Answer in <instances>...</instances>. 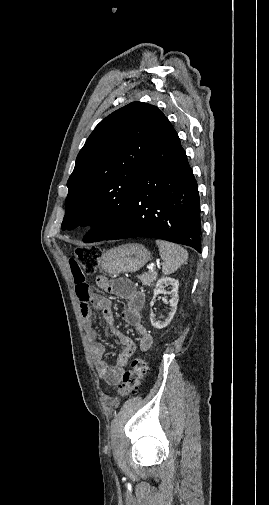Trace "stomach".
<instances>
[{"instance_id": "stomach-1", "label": "stomach", "mask_w": 269, "mask_h": 505, "mask_svg": "<svg viewBox=\"0 0 269 505\" xmlns=\"http://www.w3.org/2000/svg\"><path fill=\"white\" fill-rule=\"evenodd\" d=\"M150 260V252L138 243L112 248L102 254V269L110 275L136 272Z\"/></svg>"}]
</instances>
